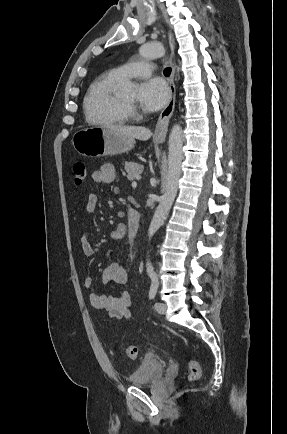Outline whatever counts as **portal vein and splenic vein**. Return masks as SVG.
<instances>
[{
	"instance_id": "1",
	"label": "portal vein and splenic vein",
	"mask_w": 287,
	"mask_h": 434,
	"mask_svg": "<svg viewBox=\"0 0 287 434\" xmlns=\"http://www.w3.org/2000/svg\"><path fill=\"white\" fill-rule=\"evenodd\" d=\"M136 186H137V182H136V181H133V182H132V187L135 188Z\"/></svg>"
}]
</instances>
